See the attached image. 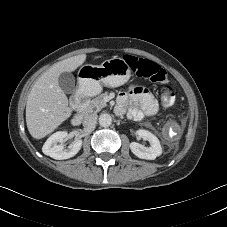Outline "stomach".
Segmentation results:
<instances>
[{
    "label": "stomach",
    "instance_id": "1",
    "mask_svg": "<svg viewBox=\"0 0 227 227\" xmlns=\"http://www.w3.org/2000/svg\"><path fill=\"white\" fill-rule=\"evenodd\" d=\"M130 76L131 70L127 62L120 57H113L100 65H83L79 69V85L84 94L94 96L101 92L102 86L119 87Z\"/></svg>",
    "mask_w": 227,
    "mask_h": 227
}]
</instances>
